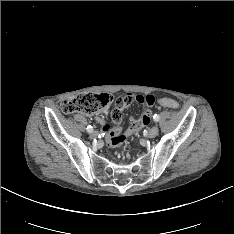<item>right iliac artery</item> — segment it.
Listing matches in <instances>:
<instances>
[{
    "mask_svg": "<svg viewBox=\"0 0 234 234\" xmlns=\"http://www.w3.org/2000/svg\"><path fill=\"white\" fill-rule=\"evenodd\" d=\"M93 131V128L91 125L87 126V132L88 133H91Z\"/></svg>",
    "mask_w": 234,
    "mask_h": 234,
    "instance_id": "82829eb1",
    "label": "right iliac artery"
}]
</instances>
